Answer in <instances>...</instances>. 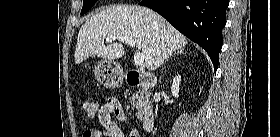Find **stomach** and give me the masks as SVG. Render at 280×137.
<instances>
[{"label": "stomach", "instance_id": "stomach-1", "mask_svg": "<svg viewBox=\"0 0 280 137\" xmlns=\"http://www.w3.org/2000/svg\"><path fill=\"white\" fill-rule=\"evenodd\" d=\"M95 76L105 87L115 88L123 81V70L118 63L103 59L95 66Z\"/></svg>", "mask_w": 280, "mask_h": 137}]
</instances>
